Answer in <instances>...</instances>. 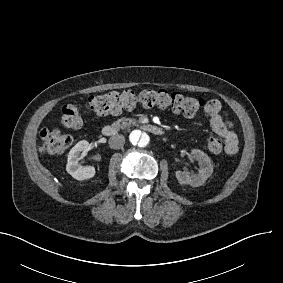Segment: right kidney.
I'll return each instance as SVG.
<instances>
[{"label":"right kidney","instance_id":"1","mask_svg":"<svg viewBox=\"0 0 283 283\" xmlns=\"http://www.w3.org/2000/svg\"><path fill=\"white\" fill-rule=\"evenodd\" d=\"M89 142L79 141L69 152L66 171L76 180H86L95 175L93 166H82L79 164V155L83 151H89Z\"/></svg>","mask_w":283,"mask_h":283}]
</instances>
